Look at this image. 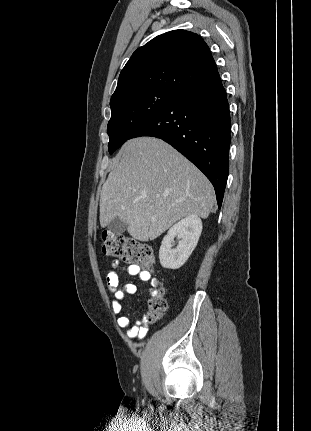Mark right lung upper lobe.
<instances>
[{
  "instance_id": "1",
  "label": "right lung upper lobe",
  "mask_w": 311,
  "mask_h": 431,
  "mask_svg": "<svg viewBox=\"0 0 311 431\" xmlns=\"http://www.w3.org/2000/svg\"><path fill=\"white\" fill-rule=\"evenodd\" d=\"M218 77L205 41L195 33L174 30L155 37L132 54L112 98L143 89L181 94Z\"/></svg>"
}]
</instances>
